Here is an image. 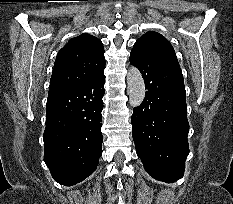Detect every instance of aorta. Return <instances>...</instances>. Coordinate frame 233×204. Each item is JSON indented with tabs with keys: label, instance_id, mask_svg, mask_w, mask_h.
<instances>
[{
	"label": "aorta",
	"instance_id": "762f6f07",
	"mask_svg": "<svg viewBox=\"0 0 233 204\" xmlns=\"http://www.w3.org/2000/svg\"><path fill=\"white\" fill-rule=\"evenodd\" d=\"M129 104L138 107L145 97V84L138 68L131 66L127 73Z\"/></svg>",
	"mask_w": 233,
	"mask_h": 204
}]
</instances>
